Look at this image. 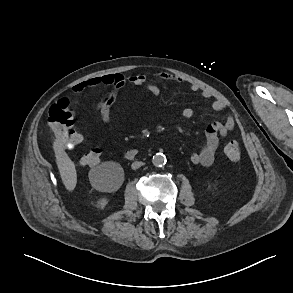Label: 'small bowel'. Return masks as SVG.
<instances>
[{"label":"small bowel","mask_w":293,"mask_h":293,"mask_svg":"<svg viewBox=\"0 0 293 293\" xmlns=\"http://www.w3.org/2000/svg\"><path fill=\"white\" fill-rule=\"evenodd\" d=\"M156 78L164 81H173L177 83L183 82L182 78L167 72H159L155 74ZM147 76L144 74H135L127 79L121 74H106L101 76H93L85 79L72 87L73 93H80L86 88H94L99 86H110L113 90L105 94L95 105L94 111L99 116L104 124L111 121L112 107L117 99L118 92L127 82L135 86H146L147 89L153 94L160 93L159 86L155 84H147ZM191 90L193 92H200L201 96L205 99L213 98V94L205 89H202L198 84H192ZM224 103L220 100H214L211 108L214 111H222ZM194 110L190 107L185 108L182 116L185 120L193 117ZM235 127V119L232 115H228L224 122H213L205 130V142L200 151L194 152L191 155V162L195 165L210 166L213 164L215 154L219 144V136H225L230 133Z\"/></svg>","instance_id":"small-bowel-1"}]
</instances>
